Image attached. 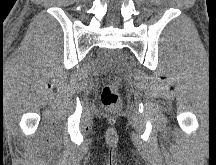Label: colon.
<instances>
[{"label": "colon", "instance_id": "colon-1", "mask_svg": "<svg viewBox=\"0 0 216 165\" xmlns=\"http://www.w3.org/2000/svg\"><path fill=\"white\" fill-rule=\"evenodd\" d=\"M120 82L114 80L111 83L105 85L101 93V102L102 104L109 108L112 111H116L120 103Z\"/></svg>", "mask_w": 216, "mask_h": 165}]
</instances>
